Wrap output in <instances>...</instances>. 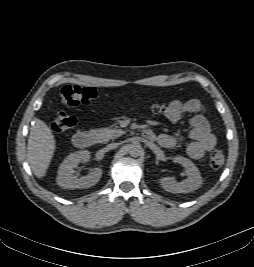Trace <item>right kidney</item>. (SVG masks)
Wrapping results in <instances>:
<instances>
[{
	"instance_id": "1",
	"label": "right kidney",
	"mask_w": 254,
	"mask_h": 267,
	"mask_svg": "<svg viewBox=\"0 0 254 267\" xmlns=\"http://www.w3.org/2000/svg\"><path fill=\"white\" fill-rule=\"evenodd\" d=\"M90 159V152L87 150L77 151L68 155L60 164L57 184L64 189L90 188L96 185L101 176L102 169L96 168L87 176L78 178L74 173V168L81 162H87Z\"/></svg>"
}]
</instances>
